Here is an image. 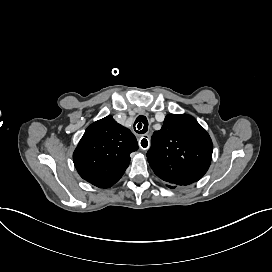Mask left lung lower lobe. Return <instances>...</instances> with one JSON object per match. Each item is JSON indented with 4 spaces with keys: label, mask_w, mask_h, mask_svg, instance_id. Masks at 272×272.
<instances>
[{
    "label": "left lung lower lobe",
    "mask_w": 272,
    "mask_h": 272,
    "mask_svg": "<svg viewBox=\"0 0 272 272\" xmlns=\"http://www.w3.org/2000/svg\"><path fill=\"white\" fill-rule=\"evenodd\" d=\"M169 188H175V186H172V185H167Z\"/></svg>",
    "instance_id": "1"
}]
</instances>
